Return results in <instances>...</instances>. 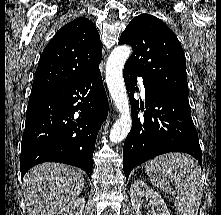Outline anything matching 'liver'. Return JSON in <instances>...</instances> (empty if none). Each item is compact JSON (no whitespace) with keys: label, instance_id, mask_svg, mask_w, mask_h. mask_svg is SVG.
Wrapping results in <instances>:
<instances>
[{"label":"liver","instance_id":"liver-1","mask_svg":"<svg viewBox=\"0 0 221 215\" xmlns=\"http://www.w3.org/2000/svg\"><path fill=\"white\" fill-rule=\"evenodd\" d=\"M23 186L29 215H56L79 196L84 177L78 168L47 162L31 168L24 176Z\"/></svg>","mask_w":221,"mask_h":215}]
</instances>
